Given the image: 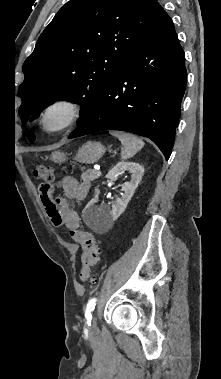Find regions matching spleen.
Wrapping results in <instances>:
<instances>
[{"label": "spleen", "instance_id": "obj_1", "mask_svg": "<svg viewBox=\"0 0 221 379\" xmlns=\"http://www.w3.org/2000/svg\"><path fill=\"white\" fill-rule=\"evenodd\" d=\"M112 135L116 136L122 144L121 158L124 160L133 157L144 146L143 140L133 134L112 132Z\"/></svg>", "mask_w": 221, "mask_h": 379}]
</instances>
